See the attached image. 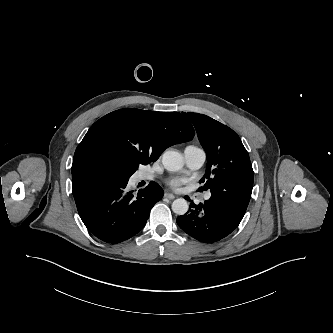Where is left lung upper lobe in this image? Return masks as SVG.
Here are the masks:
<instances>
[{
	"mask_svg": "<svg viewBox=\"0 0 333 333\" xmlns=\"http://www.w3.org/2000/svg\"><path fill=\"white\" fill-rule=\"evenodd\" d=\"M184 115L194 125L198 139L207 153L206 171L198 191L209 189L212 192L222 174L250 162L248 152L239 136L224 124L203 114L188 112Z\"/></svg>",
	"mask_w": 333,
	"mask_h": 333,
	"instance_id": "5c2ea615",
	"label": "left lung upper lobe"
}]
</instances>
